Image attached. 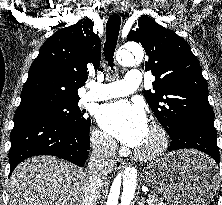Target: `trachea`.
I'll return each instance as SVG.
<instances>
[{"instance_id":"obj_1","label":"trachea","mask_w":222,"mask_h":205,"mask_svg":"<svg viewBox=\"0 0 222 205\" xmlns=\"http://www.w3.org/2000/svg\"><path fill=\"white\" fill-rule=\"evenodd\" d=\"M121 18L118 14H113L107 21L106 25V42L104 44V56L108 65L113 69L114 53L117 45Z\"/></svg>"}]
</instances>
